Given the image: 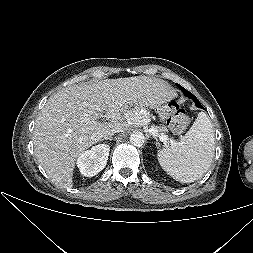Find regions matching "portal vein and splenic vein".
I'll list each match as a JSON object with an SVG mask.
<instances>
[{"label": "portal vein and splenic vein", "instance_id": "18ae733b", "mask_svg": "<svg viewBox=\"0 0 253 253\" xmlns=\"http://www.w3.org/2000/svg\"><path fill=\"white\" fill-rule=\"evenodd\" d=\"M149 132L155 136L158 137L163 143H167L168 141V137L166 135H164L163 133H159L158 130L156 128H150Z\"/></svg>", "mask_w": 253, "mask_h": 253}]
</instances>
